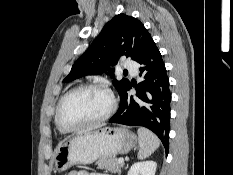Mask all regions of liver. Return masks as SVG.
Listing matches in <instances>:
<instances>
[{"mask_svg":"<svg viewBox=\"0 0 233 175\" xmlns=\"http://www.w3.org/2000/svg\"><path fill=\"white\" fill-rule=\"evenodd\" d=\"M92 129H86V130H83V131H80L78 134H82V133H85V132H89L91 131Z\"/></svg>","mask_w":233,"mask_h":175,"instance_id":"liver-1","label":"liver"}]
</instances>
